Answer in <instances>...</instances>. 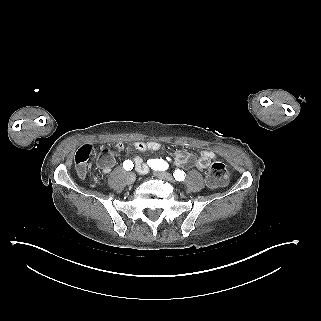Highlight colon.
Returning <instances> with one entry per match:
<instances>
[{
    "mask_svg": "<svg viewBox=\"0 0 321 321\" xmlns=\"http://www.w3.org/2000/svg\"><path fill=\"white\" fill-rule=\"evenodd\" d=\"M75 163L78 173L86 175V159L83 156L76 157ZM228 177L229 173L225 164L217 160L210 166L206 174V181L210 187H220L226 184Z\"/></svg>",
    "mask_w": 321,
    "mask_h": 321,
    "instance_id": "obj_1",
    "label": "colon"
}]
</instances>
